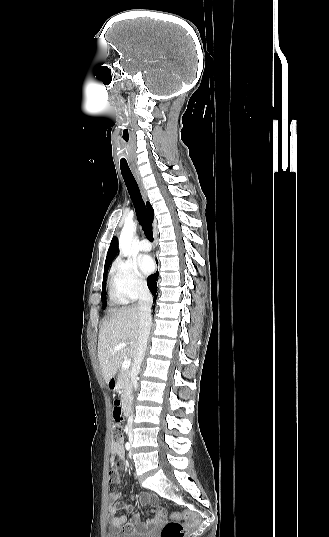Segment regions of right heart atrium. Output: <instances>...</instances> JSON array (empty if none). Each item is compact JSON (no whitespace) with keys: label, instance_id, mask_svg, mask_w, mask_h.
<instances>
[{"label":"right heart atrium","instance_id":"right-heart-atrium-1","mask_svg":"<svg viewBox=\"0 0 329 537\" xmlns=\"http://www.w3.org/2000/svg\"><path fill=\"white\" fill-rule=\"evenodd\" d=\"M110 285L124 302L134 301L147 291V283L134 262L118 259L110 271Z\"/></svg>","mask_w":329,"mask_h":537}]
</instances>
